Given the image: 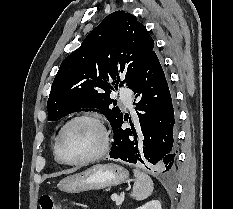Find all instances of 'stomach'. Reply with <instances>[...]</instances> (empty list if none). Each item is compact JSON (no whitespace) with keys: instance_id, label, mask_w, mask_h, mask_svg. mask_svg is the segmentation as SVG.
Instances as JSON below:
<instances>
[{"instance_id":"obj_1","label":"stomach","mask_w":233,"mask_h":209,"mask_svg":"<svg viewBox=\"0 0 233 209\" xmlns=\"http://www.w3.org/2000/svg\"><path fill=\"white\" fill-rule=\"evenodd\" d=\"M127 170L116 164H96L76 174L63 178L58 188L67 193L99 190L117 186L127 180Z\"/></svg>"}]
</instances>
